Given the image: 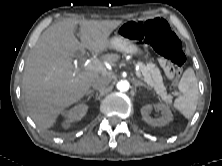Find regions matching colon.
<instances>
[{"label": "colon", "instance_id": "1", "mask_svg": "<svg viewBox=\"0 0 222 166\" xmlns=\"http://www.w3.org/2000/svg\"><path fill=\"white\" fill-rule=\"evenodd\" d=\"M120 34L140 44L152 46L162 55L161 67L168 79H177L186 61L181 42L169 24L160 18L132 21L123 25Z\"/></svg>", "mask_w": 222, "mask_h": 166}]
</instances>
